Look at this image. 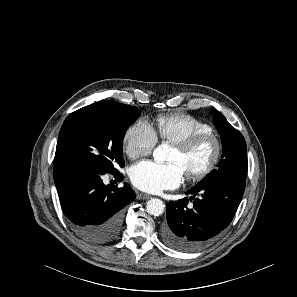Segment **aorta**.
<instances>
[{
	"label": "aorta",
	"mask_w": 297,
	"mask_h": 297,
	"mask_svg": "<svg viewBox=\"0 0 297 297\" xmlns=\"http://www.w3.org/2000/svg\"><path fill=\"white\" fill-rule=\"evenodd\" d=\"M153 157L158 162H163L167 158L166 149L162 146L157 147L153 152ZM165 205L162 200L153 198L146 204V210L150 215L159 216L164 212Z\"/></svg>",
	"instance_id": "obj_1"
}]
</instances>
